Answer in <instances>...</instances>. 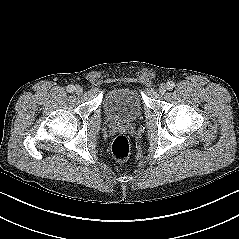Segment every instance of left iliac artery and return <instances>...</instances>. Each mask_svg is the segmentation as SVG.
I'll return each instance as SVG.
<instances>
[{
    "label": "left iliac artery",
    "mask_w": 239,
    "mask_h": 239,
    "mask_svg": "<svg viewBox=\"0 0 239 239\" xmlns=\"http://www.w3.org/2000/svg\"><path fill=\"white\" fill-rule=\"evenodd\" d=\"M167 87H168V89H173L175 87V83L173 81H169L167 83Z\"/></svg>",
    "instance_id": "44dca946"
}]
</instances>
